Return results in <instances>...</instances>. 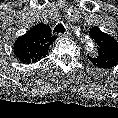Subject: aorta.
Here are the masks:
<instances>
[{"instance_id":"obj_1","label":"aorta","mask_w":118,"mask_h":118,"mask_svg":"<svg viewBox=\"0 0 118 118\" xmlns=\"http://www.w3.org/2000/svg\"><path fill=\"white\" fill-rule=\"evenodd\" d=\"M83 43L87 51L94 52L95 51V45L92 39L88 36L83 37Z\"/></svg>"}]
</instances>
